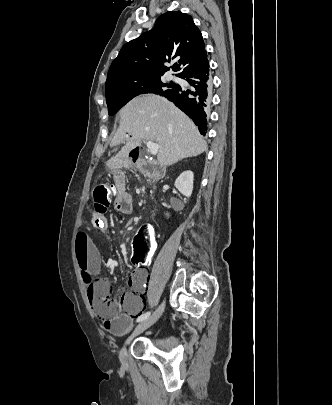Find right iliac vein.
I'll list each match as a JSON object with an SVG mask.
<instances>
[{
  "label": "right iliac vein",
  "instance_id": "63e3f726",
  "mask_svg": "<svg viewBox=\"0 0 332 405\" xmlns=\"http://www.w3.org/2000/svg\"><path fill=\"white\" fill-rule=\"evenodd\" d=\"M165 309V303L163 302L159 308L147 319L143 320L140 324H138L132 334L126 339L123 347L119 352V358L122 364H126L127 362V345L140 333L148 329L151 325H153L159 317L162 315Z\"/></svg>",
  "mask_w": 332,
  "mask_h": 405
}]
</instances>
